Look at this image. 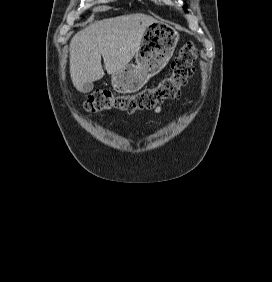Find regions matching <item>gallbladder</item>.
Here are the masks:
<instances>
[{
	"instance_id": "1",
	"label": "gallbladder",
	"mask_w": 272,
	"mask_h": 282,
	"mask_svg": "<svg viewBox=\"0 0 272 282\" xmlns=\"http://www.w3.org/2000/svg\"><path fill=\"white\" fill-rule=\"evenodd\" d=\"M92 90H93V84H92V83H86V84H84L83 89H82V91H83L84 93H89V92L92 91Z\"/></svg>"
}]
</instances>
